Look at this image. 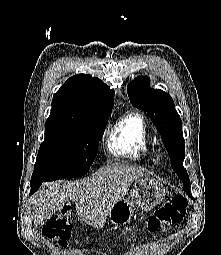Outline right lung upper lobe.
Returning a JSON list of instances; mask_svg holds the SVG:
<instances>
[{
	"label": "right lung upper lobe",
	"mask_w": 221,
	"mask_h": 255,
	"mask_svg": "<svg viewBox=\"0 0 221 255\" xmlns=\"http://www.w3.org/2000/svg\"><path fill=\"white\" fill-rule=\"evenodd\" d=\"M113 105V89L89 74H78L53 96L47 121L89 125L96 115L112 111Z\"/></svg>",
	"instance_id": "right-lung-upper-lobe-1"
}]
</instances>
